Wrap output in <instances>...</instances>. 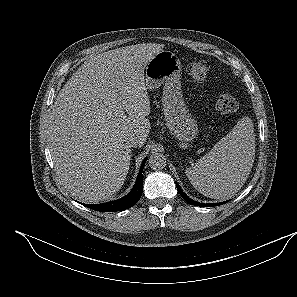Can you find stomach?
<instances>
[{
    "instance_id": "0dacf381",
    "label": "stomach",
    "mask_w": 297,
    "mask_h": 297,
    "mask_svg": "<svg viewBox=\"0 0 297 297\" xmlns=\"http://www.w3.org/2000/svg\"><path fill=\"white\" fill-rule=\"evenodd\" d=\"M181 71V61L176 54L161 50L145 67V84L149 90L163 85L162 106L166 126L176 139L190 142L197 136L198 126L182 96Z\"/></svg>"
}]
</instances>
